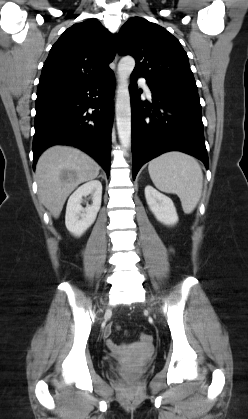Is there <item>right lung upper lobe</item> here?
<instances>
[{
  "instance_id": "right-lung-upper-lobe-1",
  "label": "right lung upper lobe",
  "mask_w": 248,
  "mask_h": 419,
  "mask_svg": "<svg viewBox=\"0 0 248 419\" xmlns=\"http://www.w3.org/2000/svg\"><path fill=\"white\" fill-rule=\"evenodd\" d=\"M116 54V37L95 19L74 24L52 46L38 90L67 88L107 73Z\"/></svg>"
}]
</instances>
